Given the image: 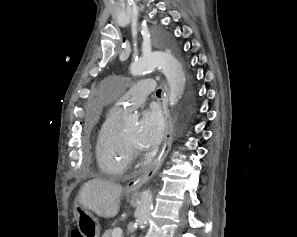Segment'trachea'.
Here are the masks:
<instances>
[{
	"instance_id": "1",
	"label": "trachea",
	"mask_w": 297,
	"mask_h": 237,
	"mask_svg": "<svg viewBox=\"0 0 297 237\" xmlns=\"http://www.w3.org/2000/svg\"><path fill=\"white\" fill-rule=\"evenodd\" d=\"M160 94H161V89H158V90L156 91V95H157V96H160Z\"/></svg>"
}]
</instances>
